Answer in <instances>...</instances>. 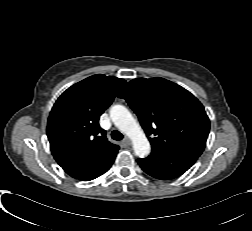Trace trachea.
Masks as SVG:
<instances>
[{
  "label": "trachea",
  "mask_w": 252,
  "mask_h": 231,
  "mask_svg": "<svg viewBox=\"0 0 252 231\" xmlns=\"http://www.w3.org/2000/svg\"><path fill=\"white\" fill-rule=\"evenodd\" d=\"M111 137L114 140H122L123 139V135L117 130L112 131Z\"/></svg>",
  "instance_id": "obj_1"
}]
</instances>
